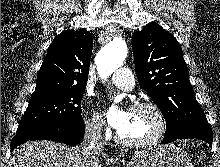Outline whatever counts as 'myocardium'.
Listing matches in <instances>:
<instances>
[{"mask_svg":"<svg viewBox=\"0 0 220 167\" xmlns=\"http://www.w3.org/2000/svg\"><path fill=\"white\" fill-rule=\"evenodd\" d=\"M133 109L150 110L157 119V129L149 138L138 141L127 140L117 132L115 137L117 143L130 148H142L154 145L161 141L167 130V121L162 109L152 102H136L133 105Z\"/></svg>","mask_w":220,"mask_h":167,"instance_id":"obj_1","label":"myocardium"}]
</instances>
